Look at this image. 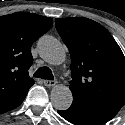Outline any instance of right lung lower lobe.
Listing matches in <instances>:
<instances>
[{
	"instance_id": "98d812e1",
	"label": "right lung lower lobe",
	"mask_w": 125,
	"mask_h": 125,
	"mask_svg": "<svg viewBox=\"0 0 125 125\" xmlns=\"http://www.w3.org/2000/svg\"><path fill=\"white\" fill-rule=\"evenodd\" d=\"M27 92L19 95H12L8 98L0 100V114L18 107L25 99Z\"/></svg>"
}]
</instances>
